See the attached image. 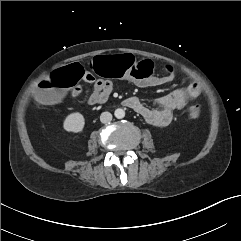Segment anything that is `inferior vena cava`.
Listing matches in <instances>:
<instances>
[{
	"instance_id": "obj_1",
	"label": "inferior vena cava",
	"mask_w": 241,
	"mask_h": 241,
	"mask_svg": "<svg viewBox=\"0 0 241 241\" xmlns=\"http://www.w3.org/2000/svg\"><path fill=\"white\" fill-rule=\"evenodd\" d=\"M112 120V114L110 112H103L101 115H100V121L102 123H108Z\"/></svg>"
}]
</instances>
